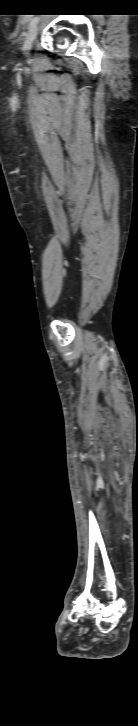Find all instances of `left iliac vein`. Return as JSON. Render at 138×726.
<instances>
[{"instance_id":"4c4485c4","label":"left iliac vein","mask_w":138,"mask_h":726,"mask_svg":"<svg viewBox=\"0 0 138 726\" xmlns=\"http://www.w3.org/2000/svg\"><path fill=\"white\" fill-rule=\"evenodd\" d=\"M37 33H38V26L36 24V25H34V26H32L30 28V30L27 33V36L25 38V42H24V45H23V51L25 53H28L29 50L31 49L32 44H33V42H34V40H35V38L37 36Z\"/></svg>"}]
</instances>
